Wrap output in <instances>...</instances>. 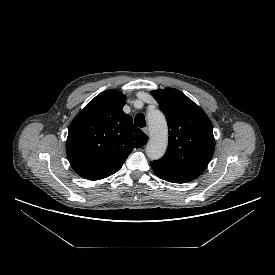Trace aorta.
Instances as JSON below:
<instances>
[{"mask_svg":"<svg viewBox=\"0 0 275 275\" xmlns=\"http://www.w3.org/2000/svg\"><path fill=\"white\" fill-rule=\"evenodd\" d=\"M150 140L146 146V153L152 160L160 159L168 143V128L165 116L160 111H153L148 114Z\"/></svg>","mask_w":275,"mask_h":275,"instance_id":"762f6f07","label":"aorta"}]
</instances>
